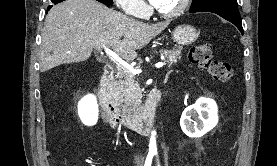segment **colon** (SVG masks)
I'll use <instances>...</instances> for the list:
<instances>
[{
    "label": "colon",
    "instance_id": "colon-1",
    "mask_svg": "<svg viewBox=\"0 0 277 166\" xmlns=\"http://www.w3.org/2000/svg\"><path fill=\"white\" fill-rule=\"evenodd\" d=\"M188 57L191 63L205 70L216 81L227 82L232 76L230 64L215 59L213 57V47L208 43L193 46Z\"/></svg>",
    "mask_w": 277,
    "mask_h": 166
}]
</instances>
